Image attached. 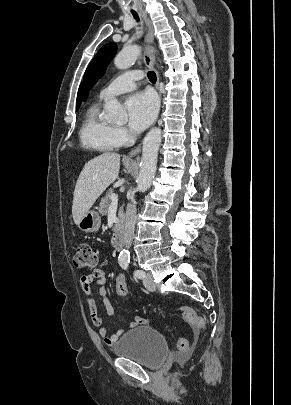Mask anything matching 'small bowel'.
Listing matches in <instances>:
<instances>
[{"label":"small bowel","instance_id":"small-bowel-1","mask_svg":"<svg viewBox=\"0 0 291 405\" xmlns=\"http://www.w3.org/2000/svg\"><path fill=\"white\" fill-rule=\"evenodd\" d=\"M106 280L107 275L104 270L97 269L92 274L83 275L80 279L81 288L85 294L87 307L89 310V315L92 324L98 328V334L104 339L105 343L108 345L114 344L119 337L124 334L123 329H118L114 334L108 335L107 328L103 325V319L98 312L96 302L92 296L91 287L93 282L99 286V295L102 298L104 308L109 316L114 313V308L107 295L106 290ZM144 324V319L142 317H136L133 322L130 323V328Z\"/></svg>","mask_w":291,"mask_h":405}]
</instances>
